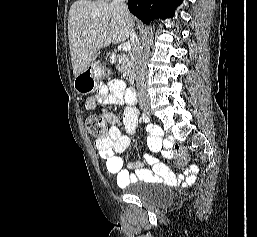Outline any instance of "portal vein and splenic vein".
Returning a JSON list of instances; mask_svg holds the SVG:
<instances>
[{
    "label": "portal vein and splenic vein",
    "instance_id": "18ae733b",
    "mask_svg": "<svg viewBox=\"0 0 257 237\" xmlns=\"http://www.w3.org/2000/svg\"><path fill=\"white\" fill-rule=\"evenodd\" d=\"M93 33H95V31H93ZM130 49H131L130 43L125 42V43L122 44V50L123 51H130Z\"/></svg>",
    "mask_w": 257,
    "mask_h": 237
}]
</instances>
